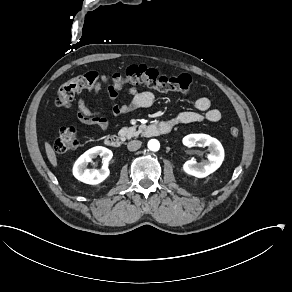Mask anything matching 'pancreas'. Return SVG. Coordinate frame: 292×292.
Returning <instances> with one entry per match:
<instances>
[{
    "label": "pancreas",
    "mask_w": 292,
    "mask_h": 292,
    "mask_svg": "<svg viewBox=\"0 0 292 292\" xmlns=\"http://www.w3.org/2000/svg\"><path fill=\"white\" fill-rule=\"evenodd\" d=\"M120 138H131L133 136H137L139 131L136 130V127H123L118 132Z\"/></svg>",
    "instance_id": "cf45deb5"
}]
</instances>
